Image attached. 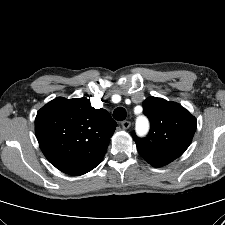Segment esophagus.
Instances as JSON below:
<instances>
[{"instance_id": "esophagus-1", "label": "esophagus", "mask_w": 225, "mask_h": 225, "mask_svg": "<svg viewBox=\"0 0 225 225\" xmlns=\"http://www.w3.org/2000/svg\"><path fill=\"white\" fill-rule=\"evenodd\" d=\"M121 125L123 129H128L131 126V122L125 120L121 122Z\"/></svg>"}]
</instances>
